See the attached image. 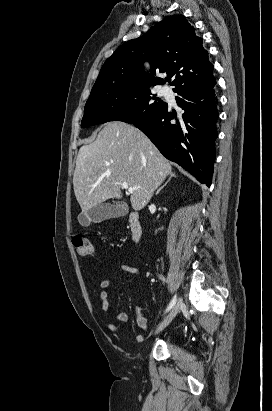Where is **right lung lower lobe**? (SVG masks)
<instances>
[{"label":"right lung lower lobe","mask_w":272,"mask_h":411,"mask_svg":"<svg viewBox=\"0 0 272 411\" xmlns=\"http://www.w3.org/2000/svg\"><path fill=\"white\" fill-rule=\"evenodd\" d=\"M214 86L212 76L197 86L176 90V101L182 109L179 118L166 104L153 116L133 123L167 159L181 165L207 186L211 185L216 156L218 111Z\"/></svg>","instance_id":"1"}]
</instances>
